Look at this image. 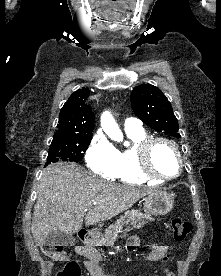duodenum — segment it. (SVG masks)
I'll return each instance as SVG.
<instances>
[{
    "label": "duodenum",
    "instance_id": "duodenum-1",
    "mask_svg": "<svg viewBox=\"0 0 221 276\" xmlns=\"http://www.w3.org/2000/svg\"><path fill=\"white\" fill-rule=\"evenodd\" d=\"M80 240L86 245L89 246L92 244V235L90 230L87 229H81L78 232Z\"/></svg>",
    "mask_w": 221,
    "mask_h": 276
}]
</instances>
